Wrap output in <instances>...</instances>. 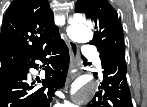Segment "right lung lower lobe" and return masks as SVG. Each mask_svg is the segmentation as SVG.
Returning <instances> with one entry per match:
<instances>
[{"label": "right lung lower lobe", "instance_id": "obj_1", "mask_svg": "<svg viewBox=\"0 0 147 107\" xmlns=\"http://www.w3.org/2000/svg\"><path fill=\"white\" fill-rule=\"evenodd\" d=\"M36 60L42 65L36 64ZM68 66L69 52L59 35L38 49L25 63L0 76V107H49L56 88L65 84ZM29 68H41L45 79H31Z\"/></svg>", "mask_w": 147, "mask_h": 107}]
</instances>
